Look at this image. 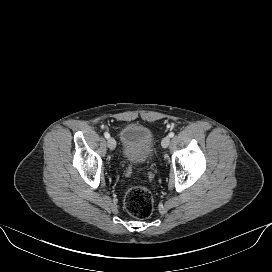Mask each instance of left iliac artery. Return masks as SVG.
<instances>
[{
	"mask_svg": "<svg viewBox=\"0 0 272 272\" xmlns=\"http://www.w3.org/2000/svg\"><path fill=\"white\" fill-rule=\"evenodd\" d=\"M168 136H169L170 138H172V137L174 136V133H173V132H170V133L168 134Z\"/></svg>",
	"mask_w": 272,
	"mask_h": 272,
	"instance_id": "left-iliac-artery-1",
	"label": "left iliac artery"
}]
</instances>
